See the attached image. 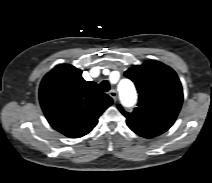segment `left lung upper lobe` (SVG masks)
I'll use <instances>...</instances> for the list:
<instances>
[{"instance_id": "left-lung-upper-lobe-1", "label": "left lung upper lobe", "mask_w": 212, "mask_h": 183, "mask_svg": "<svg viewBox=\"0 0 212 183\" xmlns=\"http://www.w3.org/2000/svg\"><path fill=\"white\" fill-rule=\"evenodd\" d=\"M139 93L138 107L125 115L129 128L145 138L155 137L167 131L174 123L183 101L181 83L176 73L167 65L145 61L125 72Z\"/></svg>"}]
</instances>
